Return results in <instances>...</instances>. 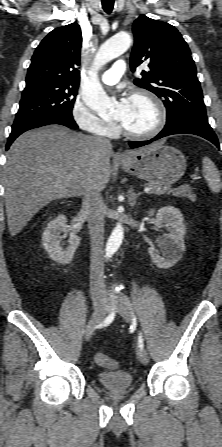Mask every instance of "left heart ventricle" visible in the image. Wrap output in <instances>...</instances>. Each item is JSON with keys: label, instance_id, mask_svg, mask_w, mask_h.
<instances>
[{"label": "left heart ventricle", "instance_id": "b2bd125f", "mask_svg": "<svg viewBox=\"0 0 222 447\" xmlns=\"http://www.w3.org/2000/svg\"><path fill=\"white\" fill-rule=\"evenodd\" d=\"M115 117L129 131L142 133L152 129L157 122V113L154 106L145 98L129 99L125 111L118 106Z\"/></svg>", "mask_w": 222, "mask_h": 447}]
</instances>
